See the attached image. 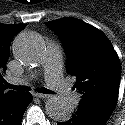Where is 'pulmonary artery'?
Returning a JSON list of instances; mask_svg holds the SVG:
<instances>
[{"label": "pulmonary artery", "instance_id": "1", "mask_svg": "<svg viewBox=\"0 0 125 125\" xmlns=\"http://www.w3.org/2000/svg\"><path fill=\"white\" fill-rule=\"evenodd\" d=\"M41 63L45 67V77L48 86L57 92L61 98L69 101L76 100V93L71 90L61 76V53L58 47L51 46L43 53ZM12 84L24 82V79L12 78Z\"/></svg>", "mask_w": 125, "mask_h": 125}]
</instances>
